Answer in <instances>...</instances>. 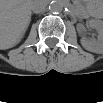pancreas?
<instances>
[{
  "instance_id": "cf45deb5",
  "label": "pancreas",
  "mask_w": 103,
  "mask_h": 103,
  "mask_svg": "<svg viewBox=\"0 0 103 103\" xmlns=\"http://www.w3.org/2000/svg\"><path fill=\"white\" fill-rule=\"evenodd\" d=\"M77 6L79 7V12L82 14V15H85V10L83 9L82 5L77 3Z\"/></svg>"
}]
</instances>
